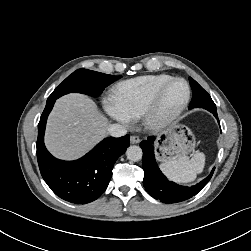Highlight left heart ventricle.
Here are the masks:
<instances>
[{
	"mask_svg": "<svg viewBox=\"0 0 251 251\" xmlns=\"http://www.w3.org/2000/svg\"><path fill=\"white\" fill-rule=\"evenodd\" d=\"M186 97V87L182 82H176L170 85L165 91L161 105L160 112L163 115H166L173 110H175Z\"/></svg>",
	"mask_w": 251,
	"mask_h": 251,
	"instance_id": "left-heart-ventricle-1",
	"label": "left heart ventricle"
}]
</instances>
